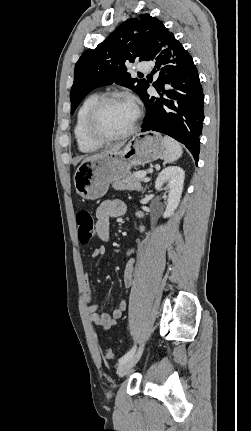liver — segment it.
Instances as JSON below:
<instances>
[{"mask_svg": "<svg viewBox=\"0 0 251 431\" xmlns=\"http://www.w3.org/2000/svg\"><path fill=\"white\" fill-rule=\"evenodd\" d=\"M124 144H125L124 142L118 143V144H116V145H114V146L110 147L109 149H105L104 151H102V152H100V153H98V154H95V155H91V156H89V157H86V158L83 160V162H84V161H89V160H95V159L100 158V157H103V156H105V155H107V154H109V153H112V152L118 151L119 149H121V148L124 146Z\"/></svg>", "mask_w": 251, "mask_h": 431, "instance_id": "1", "label": "liver"}]
</instances>
